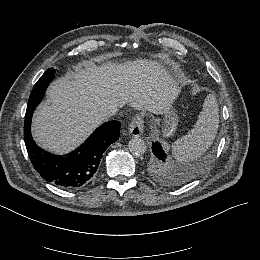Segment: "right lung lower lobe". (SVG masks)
Wrapping results in <instances>:
<instances>
[{
	"label": "right lung lower lobe",
	"instance_id": "obj_1",
	"mask_svg": "<svg viewBox=\"0 0 260 260\" xmlns=\"http://www.w3.org/2000/svg\"><path fill=\"white\" fill-rule=\"evenodd\" d=\"M51 81L45 80L42 89ZM34 110H26L24 140L30 160L46 181L63 189L72 190L89 184L96 176L105 150L119 138L120 123L110 121L98 127L86 142L66 156L50 154L36 145L30 125Z\"/></svg>",
	"mask_w": 260,
	"mask_h": 260
}]
</instances>
